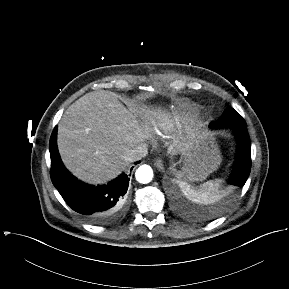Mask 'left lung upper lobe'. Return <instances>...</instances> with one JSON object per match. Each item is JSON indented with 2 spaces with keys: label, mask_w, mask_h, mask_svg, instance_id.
<instances>
[{
  "label": "left lung upper lobe",
  "mask_w": 289,
  "mask_h": 289,
  "mask_svg": "<svg viewBox=\"0 0 289 289\" xmlns=\"http://www.w3.org/2000/svg\"><path fill=\"white\" fill-rule=\"evenodd\" d=\"M212 128H218L223 126H244L246 127V122L244 119L231 107H228L227 110L222 115L221 122H212L210 124Z\"/></svg>",
  "instance_id": "obj_1"
}]
</instances>
